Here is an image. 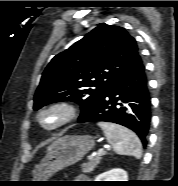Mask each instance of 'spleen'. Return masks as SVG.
<instances>
[{
  "label": "spleen",
  "mask_w": 178,
  "mask_h": 186,
  "mask_svg": "<svg viewBox=\"0 0 178 186\" xmlns=\"http://www.w3.org/2000/svg\"><path fill=\"white\" fill-rule=\"evenodd\" d=\"M98 126L103 129L107 141L116 153L141 158L142 144L134 132L115 123L99 122Z\"/></svg>",
  "instance_id": "1"
}]
</instances>
